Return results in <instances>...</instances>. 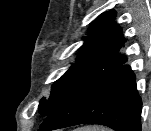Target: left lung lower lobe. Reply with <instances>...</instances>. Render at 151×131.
Returning <instances> with one entry per match:
<instances>
[{
  "instance_id": "1",
  "label": "left lung lower lobe",
  "mask_w": 151,
  "mask_h": 131,
  "mask_svg": "<svg viewBox=\"0 0 151 131\" xmlns=\"http://www.w3.org/2000/svg\"><path fill=\"white\" fill-rule=\"evenodd\" d=\"M142 102L127 65L89 69L65 94L38 131L94 123L115 131H141Z\"/></svg>"
}]
</instances>
